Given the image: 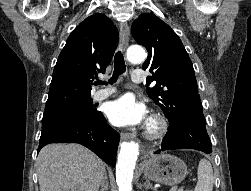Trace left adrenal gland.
Here are the masks:
<instances>
[{
    "mask_svg": "<svg viewBox=\"0 0 251 191\" xmlns=\"http://www.w3.org/2000/svg\"><path fill=\"white\" fill-rule=\"evenodd\" d=\"M144 187H145V189H155V187H153L152 183H150L149 179H146V181L144 183Z\"/></svg>",
    "mask_w": 251,
    "mask_h": 191,
    "instance_id": "obj_1",
    "label": "left adrenal gland"
}]
</instances>
